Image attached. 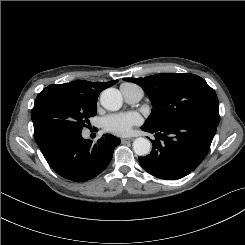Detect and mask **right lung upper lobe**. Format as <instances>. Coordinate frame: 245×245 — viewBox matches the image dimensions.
<instances>
[{
	"label": "right lung upper lobe",
	"instance_id": "right-lung-upper-lobe-1",
	"mask_svg": "<svg viewBox=\"0 0 245 245\" xmlns=\"http://www.w3.org/2000/svg\"><path fill=\"white\" fill-rule=\"evenodd\" d=\"M117 82L115 81H109L106 83H98V82H90V81H85V80H77V81H72L70 83H64L62 84L63 86L74 90L86 97L89 98H94L97 99L100 92L103 91L104 89L111 87Z\"/></svg>",
	"mask_w": 245,
	"mask_h": 245
}]
</instances>
